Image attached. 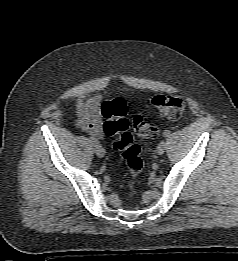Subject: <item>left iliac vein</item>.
Here are the masks:
<instances>
[{
  "label": "left iliac vein",
  "instance_id": "1",
  "mask_svg": "<svg viewBox=\"0 0 238 261\" xmlns=\"http://www.w3.org/2000/svg\"><path fill=\"white\" fill-rule=\"evenodd\" d=\"M165 148H166V143L164 141H161L157 146V153L159 155H162L165 151Z\"/></svg>",
  "mask_w": 238,
  "mask_h": 261
}]
</instances>
